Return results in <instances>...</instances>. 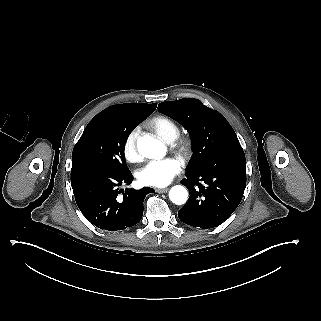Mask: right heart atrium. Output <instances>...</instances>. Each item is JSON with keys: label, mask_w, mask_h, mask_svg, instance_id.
Wrapping results in <instances>:
<instances>
[{"label": "right heart atrium", "mask_w": 321, "mask_h": 321, "mask_svg": "<svg viewBox=\"0 0 321 321\" xmlns=\"http://www.w3.org/2000/svg\"><path fill=\"white\" fill-rule=\"evenodd\" d=\"M139 130L137 128L131 129L125 136L122 144V152L126 160L130 162L138 161L143 154L138 147Z\"/></svg>", "instance_id": "d8ad5b80"}]
</instances>
